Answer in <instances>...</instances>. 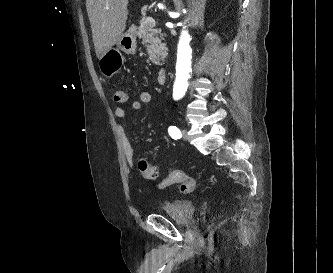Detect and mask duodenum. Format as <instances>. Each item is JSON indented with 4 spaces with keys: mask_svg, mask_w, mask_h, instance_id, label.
I'll return each mask as SVG.
<instances>
[{
    "mask_svg": "<svg viewBox=\"0 0 333 273\" xmlns=\"http://www.w3.org/2000/svg\"><path fill=\"white\" fill-rule=\"evenodd\" d=\"M157 82L160 86H164L167 83V71L165 69L159 72Z\"/></svg>",
    "mask_w": 333,
    "mask_h": 273,
    "instance_id": "410a0bca",
    "label": "duodenum"
}]
</instances>
